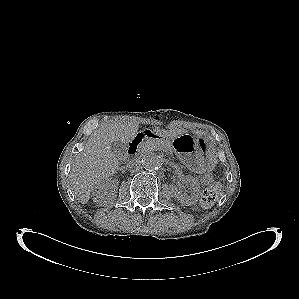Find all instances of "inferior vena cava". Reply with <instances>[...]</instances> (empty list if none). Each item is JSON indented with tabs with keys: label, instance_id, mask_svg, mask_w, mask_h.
Returning <instances> with one entry per match:
<instances>
[{
	"label": "inferior vena cava",
	"instance_id": "1",
	"mask_svg": "<svg viewBox=\"0 0 299 299\" xmlns=\"http://www.w3.org/2000/svg\"><path fill=\"white\" fill-rule=\"evenodd\" d=\"M138 165V161L137 160H130L128 163H127V166L132 168V167H135Z\"/></svg>",
	"mask_w": 299,
	"mask_h": 299
}]
</instances>
